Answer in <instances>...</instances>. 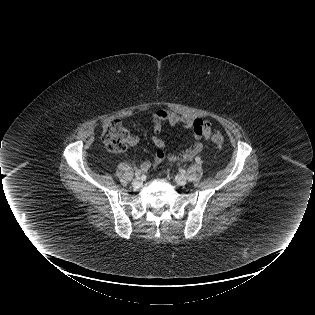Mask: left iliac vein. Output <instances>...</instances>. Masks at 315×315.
I'll use <instances>...</instances> for the list:
<instances>
[{
    "instance_id": "4c4485c4",
    "label": "left iliac vein",
    "mask_w": 315,
    "mask_h": 315,
    "mask_svg": "<svg viewBox=\"0 0 315 315\" xmlns=\"http://www.w3.org/2000/svg\"><path fill=\"white\" fill-rule=\"evenodd\" d=\"M175 181L179 185H185L187 183V178L184 175H177Z\"/></svg>"
}]
</instances>
